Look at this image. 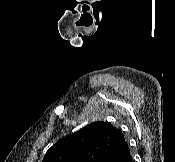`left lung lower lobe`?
<instances>
[{
	"label": "left lung lower lobe",
	"mask_w": 175,
	"mask_h": 162,
	"mask_svg": "<svg viewBox=\"0 0 175 162\" xmlns=\"http://www.w3.org/2000/svg\"><path fill=\"white\" fill-rule=\"evenodd\" d=\"M105 162H132L130 150L125 140L113 149Z\"/></svg>",
	"instance_id": "obj_1"
}]
</instances>
